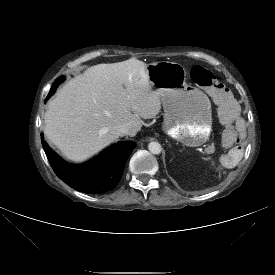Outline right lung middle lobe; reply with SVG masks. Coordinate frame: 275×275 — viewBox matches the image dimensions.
Returning <instances> with one entry per match:
<instances>
[{
	"label": "right lung middle lobe",
	"mask_w": 275,
	"mask_h": 275,
	"mask_svg": "<svg viewBox=\"0 0 275 275\" xmlns=\"http://www.w3.org/2000/svg\"><path fill=\"white\" fill-rule=\"evenodd\" d=\"M65 80V77L64 76H60L59 78H57L55 80V82L53 83L50 91H49V94L46 98V101L51 97V95L56 91L57 87L59 86L60 83H62L63 81Z\"/></svg>",
	"instance_id": "right-lung-middle-lobe-1"
}]
</instances>
